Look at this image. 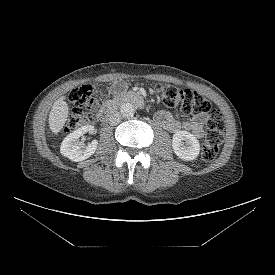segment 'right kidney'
Returning a JSON list of instances; mask_svg holds the SVG:
<instances>
[{
	"label": "right kidney",
	"instance_id": "obj_1",
	"mask_svg": "<svg viewBox=\"0 0 275 275\" xmlns=\"http://www.w3.org/2000/svg\"><path fill=\"white\" fill-rule=\"evenodd\" d=\"M94 126L85 125L67 135L62 141L60 152L72 161L79 162L89 158L97 149L98 142L93 140L87 146L81 144L79 138L87 132H92Z\"/></svg>",
	"mask_w": 275,
	"mask_h": 275
}]
</instances>
